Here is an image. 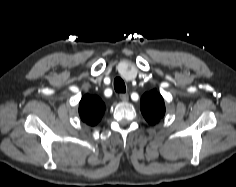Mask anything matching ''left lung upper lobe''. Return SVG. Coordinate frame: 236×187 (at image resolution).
I'll return each instance as SVG.
<instances>
[{"label":"left lung upper lobe","instance_id":"1","mask_svg":"<svg viewBox=\"0 0 236 187\" xmlns=\"http://www.w3.org/2000/svg\"><path fill=\"white\" fill-rule=\"evenodd\" d=\"M140 108L144 118L151 125L158 123L165 114L164 99L156 89L142 96Z\"/></svg>","mask_w":236,"mask_h":187}]
</instances>
